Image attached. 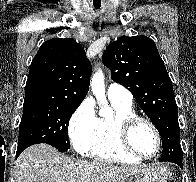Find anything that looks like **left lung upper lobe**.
Segmentation results:
<instances>
[{"mask_svg": "<svg viewBox=\"0 0 196 182\" xmlns=\"http://www.w3.org/2000/svg\"><path fill=\"white\" fill-rule=\"evenodd\" d=\"M102 60L111 78L133 94L155 125L162 147L175 149L182 157L173 85L154 41L146 36H121L106 47Z\"/></svg>", "mask_w": 196, "mask_h": 182, "instance_id": "obj_1", "label": "left lung upper lobe"}]
</instances>
